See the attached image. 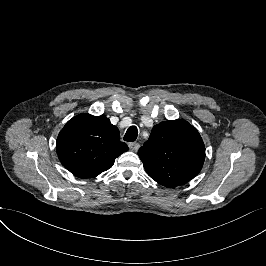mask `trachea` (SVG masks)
Masks as SVG:
<instances>
[{"label":"trachea","mask_w":266,"mask_h":266,"mask_svg":"<svg viewBox=\"0 0 266 266\" xmlns=\"http://www.w3.org/2000/svg\"><path fill=\"white\" fill-rule=\"evenodd\" d=\"M138 135V130L135 126H130L124 135V140L127 142H133L136 140Z\"/></svg>","instance_id":"3493384b"}]
</instances>
